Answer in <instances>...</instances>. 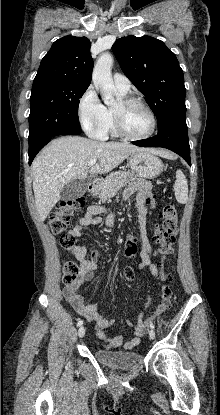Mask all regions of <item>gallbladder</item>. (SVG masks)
<instances>
[{
    "label": "gallbladder",
    "mask_w": 220,
    "mask_h": 415,
    "mask_svg": "<svg viewBox=\"0 0 220 415\" xmlns=\"http://www.w3.org/2000/svg\"><path fill=\"white\" fill-rule=\"evenodd\" d=\"M88 182L86 180L78 179L68 183L60 193V199L67 200H76L82 197L87 190Z\"/></svg>",
    "instance_id": "bac80fb5"
}]
</instances>
